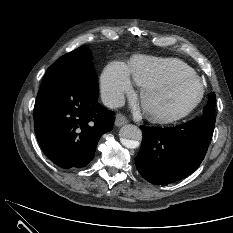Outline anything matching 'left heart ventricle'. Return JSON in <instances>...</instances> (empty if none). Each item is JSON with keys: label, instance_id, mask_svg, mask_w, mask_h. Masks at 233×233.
I'll list each match as a JSON object with an SVG mask.
<instances>
[{"label": "left heart ventricle", "instance_id": "obj_1", "mask_svg": "<svg viewBox=\"0 0 233 233\" xmlns=\"http://www.w3.org/2000/svg\"><path fill=\"white\" fill-rule=\"evenodd\" d=\"M200 90L198 82L184 80L152 92L148 97V103L154 109L177 114L187 109L198 98Z\"/></svg>", "mask_w": 233, "mask_h": 233}]
</instances>
